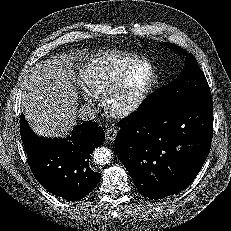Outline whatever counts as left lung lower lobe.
Instances as JSON below:
<instances>
[{"mask_svg":"<svg viewBox=\"0 0 231 231\" xmlns=\"http://www.w3.org/2000/svg\"><path fill=\"white\" fill-rule=\"evenodd\" d=\"M115 151L138 191L151 199L176 194L203 166L213 136L211 98L194 99L159 113L139 108L120 121Z\"/></svg>","mask_w":231,"mask_h":231,"instance_id":"obj_1","label":"left lung lower lobe"}]
</instances>
